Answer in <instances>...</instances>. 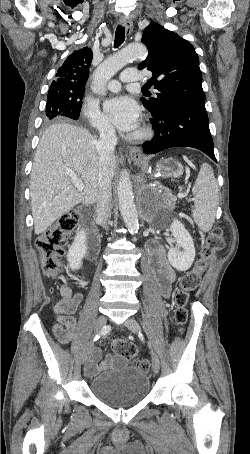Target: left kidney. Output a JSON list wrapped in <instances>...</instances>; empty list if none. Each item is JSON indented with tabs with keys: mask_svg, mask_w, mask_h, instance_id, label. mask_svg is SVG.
Returning a JSON list of instances; mask_svg holds the SVG:
<instances>
[{
	"mask_svg": "<svg viewBox=\"0 0 250 454\" xmlns=\"http://www.w3.org/2000/svg\"><path fill=\"white\" fill-rule=\"evenodd\" d=\"M170 231L175 238V245H171L168 251V260L176 270L186 271L195 259L193 239L182 222L177 219L171 223Z\"/></svg>",
	"mask_w": 250,
	"mask_h": 454,
	"instance_id": "obj_1",
	"label": "left kidney"
}]
</instances>
